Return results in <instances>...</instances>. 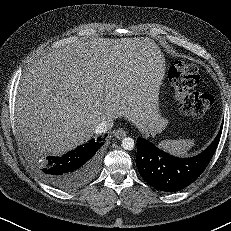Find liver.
Segmentation results:
<instances>
[{
  "instance_id": "obj_1",
  "label": "liver",
  "mask_w": 231,
  "mask_h": 231,
  "mask_svg": "<svg viewBox=\"0 0 231 231\" xmlns=\"http://www.w3.org/2000/svg\"><path fill=\"white\" fill-rule=\"evenodd\" d=\"M165 60L150 38L78 40L44 54L21 77L19 128L38 150L61 155L103 120L125 117L152 133Z\"/></svg>"
}]
</instances>
